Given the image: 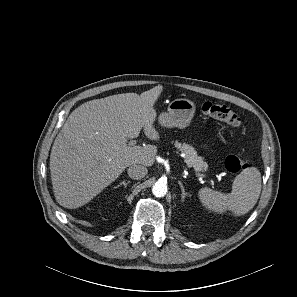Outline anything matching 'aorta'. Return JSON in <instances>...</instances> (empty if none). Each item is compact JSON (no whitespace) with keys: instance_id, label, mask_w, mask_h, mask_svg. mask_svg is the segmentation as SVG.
<instances>
[{"instance_id":"obj_1","label":"aorta","mask_w":297,"mask_h":297,"mask_svg":"<svg viewBox=\"0 0 297 297\" xmlns=\"http://www.w3.org/2000/svg\"><path fill=\"white\" fill-rule=\"evenodd\" d=\"M152 192L156 197H163L167 193V184L158 180L152 187Z\"/></svg>"}]
</instances>
